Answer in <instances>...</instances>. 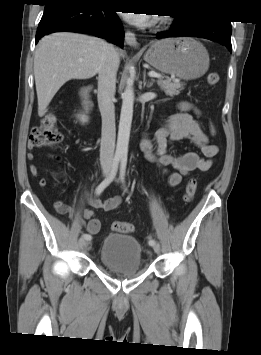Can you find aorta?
Instances as JSON below:
<instances>
[{
    "label": "aorta",
    "mask_w": 261,
    "mask_h": 355,
    "mask_svg": "<svg viewBox=\"0 0 261 355\" xmlns=\"http://www.w3.org/2000/svg\"><path fill=\"white\" fill-rule=\"evenodd\" d=\"M133 105H134V89L133 81L131 78L127 79L126 87L122 94V107L119 121L117 146L115 155L123 158L127 157L128 144L131 131V123L133 117Z\"/></svg>",
    "instance_id": "obj_1"
}]
</instances>
